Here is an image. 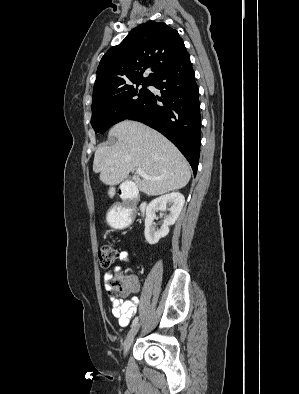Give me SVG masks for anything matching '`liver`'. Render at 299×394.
<instances>
[{"mask_svg":"<svg viewBox=\"0 0 299 394\" xmlns=\"http://www.w3.org/2000/svg\"><path fill=\"white\" fill-rule=\"evenodd\" d=\"M109 137H116L117 141L112 146L96 150L93 171L100 173V180L110 186V197L115 195L114 186L137 168L155 178L133 176L138 189L149 196L181 189L189 182V163L166 137L154 129L137 121L125 120L111 128Z\"/></svg>","mask_w":299,"mask_h":394,"instance_id":"obj_1","label":"liver"}]
</instances>
